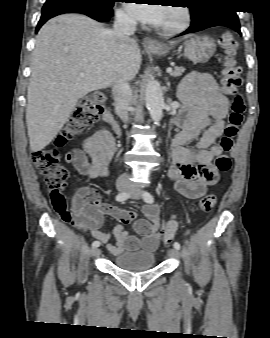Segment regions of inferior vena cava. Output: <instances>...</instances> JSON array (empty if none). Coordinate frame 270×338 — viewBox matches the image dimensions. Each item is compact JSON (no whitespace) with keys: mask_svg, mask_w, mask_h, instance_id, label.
I'll return each instance as SVG.
<instances>
[{"mask_svg":"<svg viewBox=\"0 0 270 338\" xmlns=\"http://www.w3.org/2000/svg\"><path fill=\"white\" fill-rule=\"evenodd\" d=\"M135 31V19L129 17L123 12H117L115 15L113 30L111 31L113 37L117 40H128ZM112 93L119 117L123 122H128V109L132 101V91L129 83L124 79H119L114 83ZM126 177V175H122L119 180L124 181L126 180Z\"/></svg>","mask_w":270,"mask_h":338,"instance_id":"inferior-vena-cava-1","label":"inferior vena cava"}]
</instances>
